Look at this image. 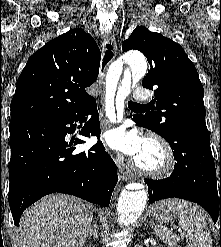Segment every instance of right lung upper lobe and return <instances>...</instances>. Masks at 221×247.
<instances>
[{
  "label": "right lung upper lobe",
  "mask_w": 221,
  "mask_h": 247,
  "mask_svg": "<svg viewBox=\"0 0 221 247\" xmlns=\"http://www.w3.org/2000/svg\"><path fill=\"white\" fill-rule=\"evenodd\" d=\"M101 54L90 34L74 28L46 43L27 61L11 101L10 125L58 120L86 107Z\"/></svg>",
  "instance_id": "1"
}]
</instances>
